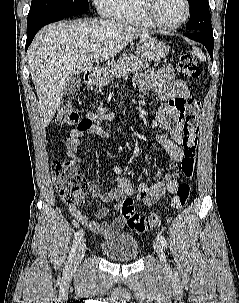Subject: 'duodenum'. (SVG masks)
Instances as JSON below:
<instances>
[{
  "label": "duodenum",
  "instance_id": "obj_1",
  "mask_svg": "<svg viewBox=\"0 0 239 303\" xmlns=\"http://www.w3.org/2000/svg\"><path fill=\"white\" fill-rule=\"evenodd\" d=\"M97 74L93 70H88L85 75V80L88 84H93L97 80Z\"/></svg>",
  "mask_w": 239,
  "mask_h": 303
}]
</instances>
